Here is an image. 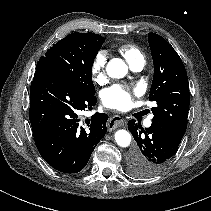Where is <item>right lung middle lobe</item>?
Masks as SVG:
<instances>
[{
	"mask_svg": "<svg viewBox=\"0 0 211 211\" xmlns=\"http://www.w3.org/2000/svg\"><path fill=\"white\" fill-rule=\"evenodd\" d=\"M105 39L91 33H72L42 56L36 70H47L72 81L85 94L95 95L92 65Z\"/></svg>",
	"mask_w": 211,
	"mask_h": 211,
	"instance_id": "1",
	"label": "right lung middle lobe"
}]
</instances>
